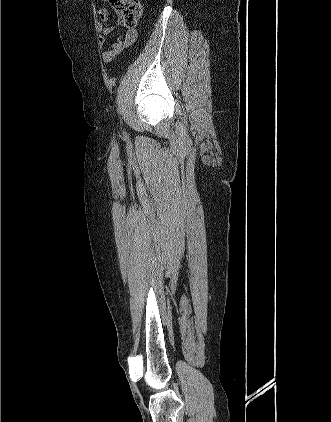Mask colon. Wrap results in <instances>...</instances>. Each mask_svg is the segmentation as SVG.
Segmentation results:
<instances>
[{
    "label": "colon",
    "instance_id": "obj_1",
    "mask_svg": "<svg viewBox=\"0 0 331 422\" xmlns=\"http://www.w3.org/2000/svg\"><path fill=\"white\" fill-rule=\"evenodd\" d=\"M108 2L126 27H134L142 16L141 0H108Z\"/></svg>",
    "mask_w": 331,
    "mask_h": 422
}]
</instances>
